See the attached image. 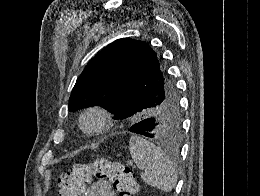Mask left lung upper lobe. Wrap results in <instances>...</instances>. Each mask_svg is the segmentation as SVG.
<instances>
[{
    "label": "left lung upper lobe",
    "instance_id": "5c2ea615",
    "mask_svg": "<svg viewBox=\"0 0 260 196\" xmlns=\"http://www.w3.org/2000/svg\"><path fill=\"white\" fill-rule=\"evenodd\" d=\"M94 105L112 113L134 110L126 119L130 125L152 119V138L169 146H178L183 137L175 85L162 57L144 41L116 40L90 60L72 89L68 109Z\"/></svg>",
    "mask_w": 260,
    "mask_h": 196
}]
</instances>
